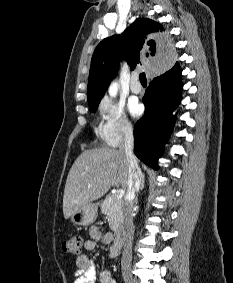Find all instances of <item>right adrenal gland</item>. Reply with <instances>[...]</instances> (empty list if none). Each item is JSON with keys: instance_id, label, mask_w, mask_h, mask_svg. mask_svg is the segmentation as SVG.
<instances>
[{"instance_id": "1", "label": "right adrenal gland", "mask_w": 233, "mask_h": 283, "mask_svg": "<svg viewBox=\"0 0 233 283\" xmlns=\"http://www.w3.org/2000/svg\"><path fill=\"white\" fill-rule=\"evenodd\" d=\"M144 180H145V178H144V175H143L140 190H143V188H144V183H145Z\"/></svg>"}]
</instances>
